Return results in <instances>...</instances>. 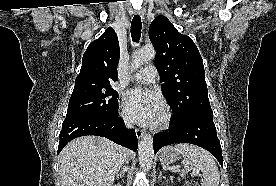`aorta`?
I'll return each instance as SVG.
<instances>
[{"instance_id": "1", "label": "aorta", "mask_w": 276, "mask_h": 186, "mask_svg": "<svg viewBox=\"0 0 276 186\" xmlns=\"http://www.w3.org/2000/svg\"><path fill=\"white\" fill-rule=\"evenodd\" d=\"M155 49L153 47H147L136 51L132 57L131 68L133 70L139 68L144 63L151 61L155 58ZM139 164L143 171L151 169L154 150L153 139L150 135H144L139 143L138 147Z\"/></svg>"}]
</instances>
